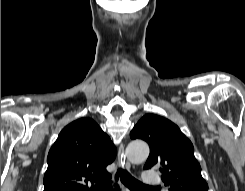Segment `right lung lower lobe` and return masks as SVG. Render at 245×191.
I'll use <instances>...</instances> for the list:
<instances>
[{"label":"right lung lower lobe","instance_id":"98d812e1","mask_svg":"<svg viewBox=\"0 0 245 191\" xmlns=\"http://www.w3.org/2000/svg\"><path fill=\"white\" fill-rule=\"evenodd\" d=\"M112 189H113L112 186L109 184L108 186L101 189L100 191H111ZM115 191H120L119 186H116Z\"/></svg>","mask_w":245,"mask_h":191}]
</instances>
